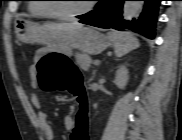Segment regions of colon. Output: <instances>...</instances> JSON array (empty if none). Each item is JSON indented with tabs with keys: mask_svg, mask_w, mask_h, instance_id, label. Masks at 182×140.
I'll return each instance as SVG.
<instances>
[{
	"mask_svg": "<svg viewBox=\"0 0 182 140\" xmlns=\"http://www.w3.org/2000/svg\"><path fill=\"white\" fill-rule=\"evenodd\" d=\"M41 88L45 91H67L76 100V114L70 140H89V96L83 76L75 63L65 56L43 57L36 66Z\"/></svg>",
	"mask_w": 182,
	"mask_h": 140,
	"instance_id": "1",
	"label": "colon"
}]
</instances>
